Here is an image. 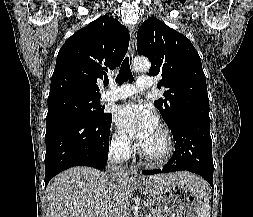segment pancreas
<instances>
[{
  "instance_id": "pancreas-1",
  "label": "pancreas",
  "mask_w": 253,
  "mask_h": 217,
  "mask_svg": "<svg viewBox=\"0 0 253 217\" xmlns=\"http://www.w3.org/2000/svg\"><path fill=\"white\" fill-rule=\"evenodd\" d=\"M150 213L152 214V217H163L162 214L157 209H151Z\"/></svg>"
}]
</instances>
